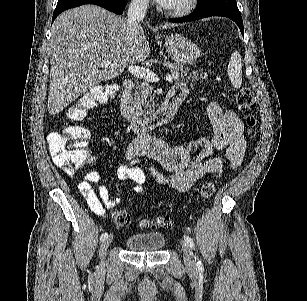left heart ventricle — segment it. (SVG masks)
I'll list each match as a JSON object with an SVG mask.
<instances>
[{"instance_id": "left-heart-ventricle-1", "label": "left heart ventricle", "mask_w": 307, "mask_h": 301, "mask_svg": "<svg viewBox=\"0 0 307 301\" xmlns=\"http://www.w3.org/2000/svg\"><path fill=\"white\" fill-rule=\"evenodd\" d=\"M187 0H182L181 2H186Z\"/></svg>"}]
</instances>
